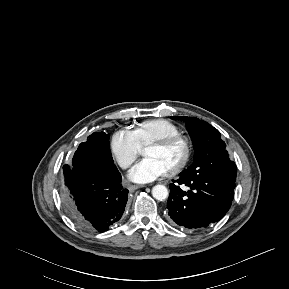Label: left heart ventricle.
<instances>
[{
    "mask_svg": "<svg viewBox=\"0 0 289 289\" xmlns=\"http://www.w3.org/2000/svg\"><path fill=\"white\" fill-rule=\"evenodd\" d=\"M182 152V146L175 144L167 148L148 147L145 156L158 160L168 171L181 159Z\"/></svg>",
    "mask_w": 289,
    "mask_h": 289,
    "instance_id": "1",
    "label": "left heart ventricle"
}]
</instances>
